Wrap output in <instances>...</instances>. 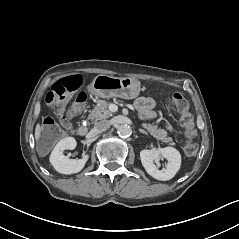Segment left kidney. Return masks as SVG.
I'll list each match as a JSON object with an SVG mask.
<instances>
[{
    "label": "left kidney",
    "mask_w": 239,
    "mask_h": 239,
    "mask_svg": "<svg viewBox=\"0 0 239 239\" xmlns=\"http://www.w3.org/2000/svg\"><path fill=\"white\" fill-rule=\"evenodd\" d=\"M160 156L168 161L166 168L162 170H159L158 166L154 164V161H157ZM140 158L146 172L153 178L161 181L172 179L179 171L181 165V155L173 147L145 149L140 152Z\"/></svg>",
    "instance_id": "5707ae66"
}]
</instances>
